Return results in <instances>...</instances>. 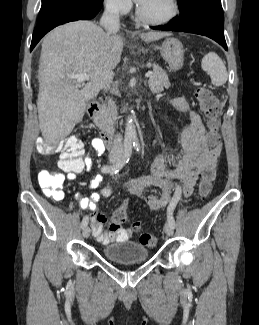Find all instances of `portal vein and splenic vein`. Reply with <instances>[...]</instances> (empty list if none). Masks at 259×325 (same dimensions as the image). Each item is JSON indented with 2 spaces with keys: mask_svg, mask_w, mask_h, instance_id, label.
<instances>
[{
  "mask_svg": "<svg viewBox=\"0 0 259 325\" xmlns=\"http://www.w3.org/2000/svg\"><path fill=\"white\" fill-rule=\"evenodd\" d=\"M152 74H153L152 71H148L145 74V77L149 78V77L152 76ZM68 78L73 80V81H76L77 83H81L83 81L89 80L90 76L88 74H78V75H69Z\"/></svg>",
  "mask_w": 259,
  "mask_h": 325,
  "instance_id": "18ae733b",
  "label": "portal vein and splenic vein"
}]
</instances>
